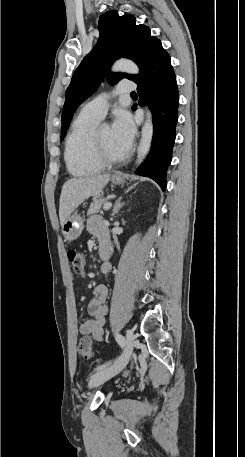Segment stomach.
<instances>
[{"label": "stomach", "instance_id": "0dacf381", "mask_svg": "<svg viewBox=\"0 0 245 457\" xmlns=\"http://www.w3.org/2000/svg\"><path fill=\"white\" fill-rule=\"evenodd\" d=\"M113 184H122L125 182L123 176L121 180H112ZM84 220L80 214L74 212V214H70L69 218L65 220L62 224V235L65 241H75L80 237L83 229H84Z\"/></svg>", "mask_w": 245, "mask_h": 457}]
</instances>
